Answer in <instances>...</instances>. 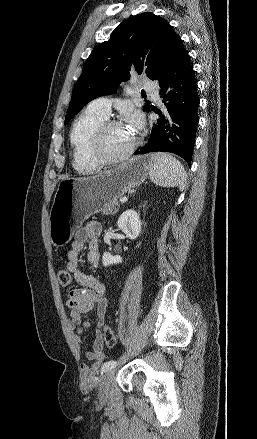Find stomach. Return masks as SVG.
<instances>
[{
    "instance_id": "obj_1",
    "label": "stomach",
    "mask_w": 257,
    "mask_h": 439,
    "mask_svg": "<svg viewBox=\"0 0 257 439\" xmlns=\"http://www.w3.org/2000/svg\"><path fill=\"white\" fill-rule=\"evenodd\" d=\"M151 167V155L136 156L96 176L62 180L49 216L52 243L61 246L68 243L85 219L142 184Z\"/></svg>"
}]
</instances>
